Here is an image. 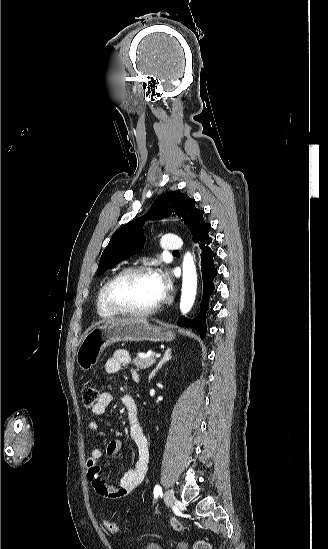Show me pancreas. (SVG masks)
Masks as SVG:
<instances>
[{
  "instance_id": "obj_1",
  "label": "pancreas",
  "mask_w": 328,
  "mask_h": 549,
  "mask_svg": "<svg viewBox=\"0 0 328 549\" xmlns=\"http://www.w3.org/2000/svg\"><path fill=\"white\" fill-rule=\"evenodd\" d=\"M154 356L155 353H152L149 357H135L132 361V365H136L137 369H148V367H151V365L156 363Z\"/></svg>"
}]
</instances>
